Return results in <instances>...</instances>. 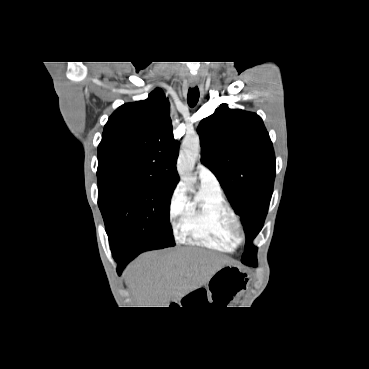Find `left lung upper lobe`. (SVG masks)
Instances as JSON below:
<instances>
[{"instance_id": "left-lung-upper-lobe-1", "label": "left lung upper lobe", "mask_w": 369, "mask_h": 369, "mask_svg": "<svg viewBox=\"0 0 369 369\" xmlns=\"http://www.w3.org/2000/svg\"><path fill=\"white\" fill-rule=\"evenodd\" d=\"M201 161L217 177L246 235L241 262L257 266L252 240L261 230L273 192L275 157L262 119L221 104L197 129Z\"/></svg>"}]
</instances>
